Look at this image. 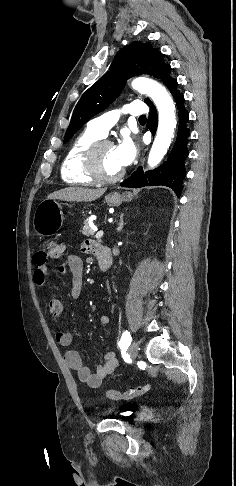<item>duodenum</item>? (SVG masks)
I'll use <instances>...</instances> for the list:
<instances>
[{
	"label": "duodenum",
	"mask_w": 236,
	"mask_h": 486,
	"mask_svg": "<svg viewBox=\"0 0 236 486\" xmlns=\"http://www.w3.org/2000/svg\"><path fill=\"white\" fill-rule=\"evenodd\" d=\"M101 270L106 271L112 263L111 251L107 246L97 244L95 249Z\"/></svg>",
	"instance_id": "1"
}]
</instances>
